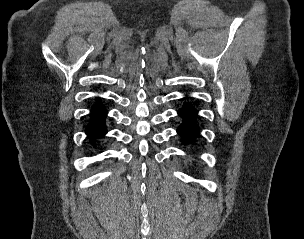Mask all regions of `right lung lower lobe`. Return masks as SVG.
<instances>
[{"label":"right lung lower lobe","instance_id":"obj_1","mask_svg":"<svg viewBox=\"0 0 304 239\" xmlns=\"http://www.w3.org/2000/svg\"><path fill=\"white\" fill-rule=\"evenodd\" d=\"M106 114L107 111L101 103L95 104L92 108L91 120L86 128V133L92 144H94L96 138H100L107 133L104 122Z\"/></svg>","mask_w":304,"mask_h":239}]
</instances>
